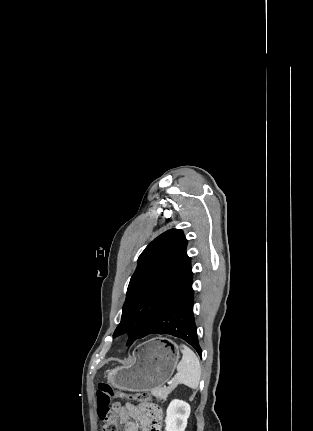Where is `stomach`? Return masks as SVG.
<instances>
[{"label": "stomach", "mask_w": 313, "mask_h": 431, "mask_svg": "<svg viewBox=\"0 0 313 431\" xmlns=\"http://www.w3.org/2000/svg\"><path fill=\"white\" fill-rule=\"evenodd\" d=\"M179 347L167 338H152L136 347L130 363L107 371V382L114 388L152 391L161 388L173 375Z\"/></svg>", "instance_id": "obj_1"}]
</instances>
